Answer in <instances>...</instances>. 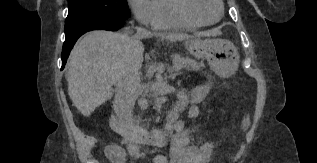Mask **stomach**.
<instances>
[{"label": "stomach", "mask_w": 317, "mask_h": 163, "mask_svg": "<svg viewBox=\"0 0 317 163\" xmlns=\"http://www.w3.org/2000/svg\"><path fill=\"white\" fill-rule=\"evenodd\" d=\"M184 47L191 55L205 58L220 76H230L238 68L239 54L236 47L227 40L193 39L186 41Z\"/></svg>", "instance_id": "stomach-1"}]
</instances>
